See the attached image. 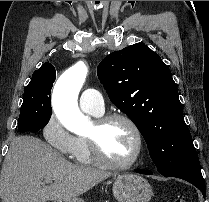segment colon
I'll return each instance as SVG.
<instances>
[{
    "label": "colon",
    "instance_id": "1",
    "mask_svg": "<svg viewBox=\"0 0 209 202\" xmlns=\"http://www.w3.org/2000/svg\"><path fill=\"white\" fill-rule=\"evenodd\" d=\"M165 202H187V201L182 199V198H177V199L170 200V201H165Z\"/></svg>",
    "mask_w": 209,
    "mask_h": 202
}]
</instances>
